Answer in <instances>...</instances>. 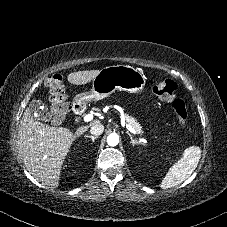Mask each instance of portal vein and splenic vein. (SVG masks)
Instances as JSON below:
<instances>
[{"mask_svg":"<svg viewBox=\"0 0 227 227\" xmlns=\"http://www.w3.org/2000/svg\"><path fill=\"white\" fill-rule=\"evenodd\" d=\"M93 119V115H91V114H87V115H85L84 117H83V120H84V122H89V121H91ZM126 128L131 132V133H133V134H139V132L138 131H136L132 126H130L129 124L128 125H126Z\"/></svg>","mask_w":227,"mask_h":227,"instance_id":"obj_1","label":"portal vein and splenic vein"}]
</instances>
